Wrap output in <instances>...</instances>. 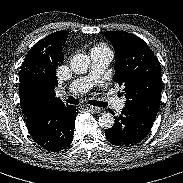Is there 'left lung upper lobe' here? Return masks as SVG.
<instances>
[{
    "instance_id": "1",
    "label": "left lung upper lobe",
    "mask_w": 183,
    "mask_h": 183,
    "mask_svg": "<svg viewBox=\"0 0 183 183\" xmlns=\"http://www.w3.org/2000/svg\"><path fill=\"white\" fill-rule=\"evenodd\" d=\"M103 34L115 48L114 80L124 87L125 108L155 120L162 90L157 57L145 41L133 34L122 31Z\"/></svg>"
}]
</instances>
